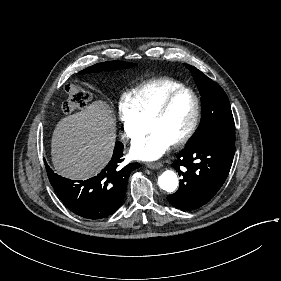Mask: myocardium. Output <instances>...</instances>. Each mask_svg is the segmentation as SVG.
<instances>
[{"mask_svg":"<svg viewBox=\"0 0 281 281\" xmlns=\"http://www.w3.org/2000/svg\"><path fill=\"white\" fill-rule=\"evenodd\" d=\"M184 94H188L192 97L194 101V112L187 131L184 133L182 137L171 143V145L174 147H179L186 144L192 138V136L194 135L197 129L200 119L201 106H200V100L194 91L188 88H183L172 93L144 121L145 127L147 129L152 123L160 119L165 114V112L167 111V109L175 99H177L178 97Z\"/></svg>","mask_w":281,"mask_h":281,"instance_id":"f54148a6","label":"myocardium"}]
</instances>
